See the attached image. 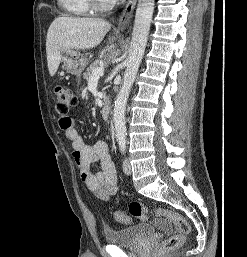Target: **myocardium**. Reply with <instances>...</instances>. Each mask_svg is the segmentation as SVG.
Segmentation results:
<instances>
[{
  "instance_id": "myocardium-1",
  "label": "myocardium",
  "mask_w": 247,
  "mask_h": 257,
  "mask_svg": "<svg viewBox=\"0 0 247 257\" xmlns=\"http://www.w3.org/2000/svg\"><path fill=\"white\" fill-rule=\"evenodd\" d=\"M89 3L95 11H106L113 6V0H89Z\"/></svg>"
}]
</instances>
